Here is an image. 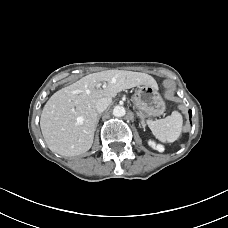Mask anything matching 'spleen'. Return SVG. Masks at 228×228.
Here are the masks:
<instances>
[{"instance_id":"spleen-1","label":"spleen","mask_w":228,"mask_h":228,"mask_svg":"<svg viewBox=\"0 0 228 228\" xmlns=\"http://www.w3.org/2000/svg\"><path fill=\"white\" fill-rule=\"evenodd\" d=\"M147 124L153 135L161 142H174L182 131L183 119L178 111H173L170 116L160 120H148Z\"/></svg>"}]
</instances>
